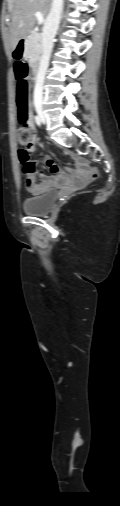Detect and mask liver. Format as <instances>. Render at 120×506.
I'll return each mask as SVG.
<instances>
[{
	"instance_id": "6515ba94",
	"label": "liver",
	"mask_w": 120,
	"mask_h": 506,
	"mask_svg": "<svg viewBox=\"0 0 120 506\" xmlns=\"http://www.w3.org/2000/svg\"><path fill=\"white\" fill-rule=\"evenodd\" d=\"M52 0H14L13 16L10 29V46L16 49L19 41L26 37L36 23V12L47 17L51 9Z\"/></svg>"
}]
</instances>
